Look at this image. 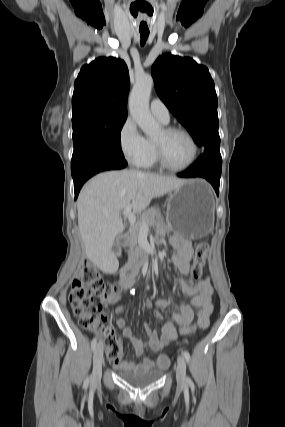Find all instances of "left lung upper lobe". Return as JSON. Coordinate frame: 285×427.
Returning <instances> with one entry per match:
<instances>
[{
  "label": "left lung upper lobe",
  "instance_id": "5c2ea615",
  "mask_svg": "<svg viewBox=\"0 0 285 427\" xmlns=\"http://www.w3.org/2000/svg\"><path fill=\"white\" fill-rule=\"evenodd\" d=\"M161 100L205 153H220L217 96L208 69L193 59L166 54L151 69Z\"/></svg>",
  "mask_w": 285,
  "mask_h": 427
}]
</instances>
